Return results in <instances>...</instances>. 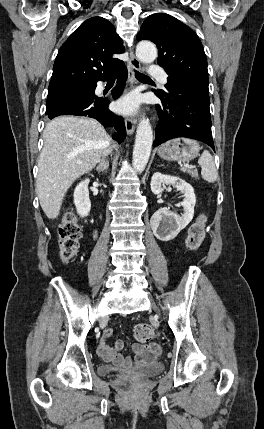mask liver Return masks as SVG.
<instances>
[{
  "label": "liver",
  "mask_w": 264,
  "mask_h": 429,
  "mask_svg": "<svg viewBox=\"0 0 264 429\" xmlns=\"http://www.w3.org/2000/svg\"><path fill=\"white\" fill-rule=\"evenodd\" d=\"M43 138L36 192L45 215L55 219L67 190L107 154L111 139L98 121L72 116L50 121Z\"/></svg>",
  "instance_id": "1"
}]
</instances>
